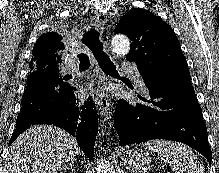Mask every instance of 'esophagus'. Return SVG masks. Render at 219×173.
Segmentation results:
<instances>
[{
    "label": "esophagus",
    "mask_w": 219,
    "mask_h": 173,
    "mask_svg": "<svg viewBox=\"0 0 219 173\" xmlns=\"http://www.w3.org/2000/svg\"><path fill=\"white\" fill-rule=\"evenodd\" d=\"M95 21L99 27V29L103 30L107 24V17L104 13H95L94 15ZM95 103L98 106L104 121L109 123L111 119V108L109 102V95L103 88V86H98L97 96L95 98Z\"/></svg>",
    "instance_id": "34e87169"
}]
</instances>
